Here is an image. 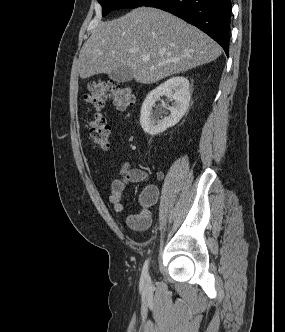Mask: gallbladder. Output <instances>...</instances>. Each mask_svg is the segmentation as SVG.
I'll return each instance as SVG.
<instances>
[{"label": "gallbladder", "mask_w": 285, "mask_h": 332, "mask_svg": "<svg viewBox=\"0 0 285 332\" xmlns=\"http://www.w3.org/2000/svg\"><path fill=\"white\" fill-rule=\"evenodd\" d=\"M108 77L117 83H125L133 79V71L128 67H117L108 73Z\"/></svg>", "instance_id": "gallbladder-1"}]
</instances>
